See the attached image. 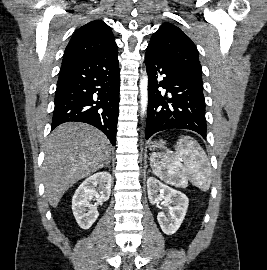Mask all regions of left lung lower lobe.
<instances>
[{
  "label": "left lung lower lobe",
  "mask_w": 267,
  "mask_h": 270,
  "mask_svg": "<svg viewBox=\"0 0 267 270\" xmlns=\"http://www.w3.org/2000/svg\"><path fill=\"white\" fill-rule=\"evenodd\" d=\"M148 110L145 137L168 129H188L206 139L203 83L192 78L162 57L146 50ZM165 88L166 93L158 90Z\"/></svg>",
  "instance_id": "obj_1"
}]
</instances>
